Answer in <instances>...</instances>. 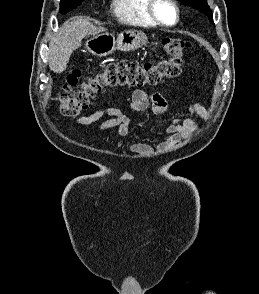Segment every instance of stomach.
I'll list each match as a JSON object with an SVG mask.
<instances>
[{"label":"stomach","mask_w":259,"mask_h":294,"mask_svg":"<svg viewBox=\"0 0 259 294\" xmlns=\"http://www.w3.org/2000/svg\"><path fill=\"white\" fill-rule=\"evenodd\" d=\"M148 43L147 36L141 31H125L115 39L112 33H97L86 42V49L93 55L107 56L115 50L134 51Z\"/></svg>","instance_id":"0dacf381"}]
</instances>
